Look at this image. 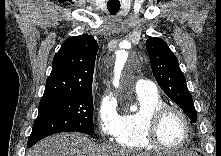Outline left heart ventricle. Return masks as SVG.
I'll use <instances>...</instances> for the list:
<instances>
[{
    "mask_svg": "<svg viewBox=\"0 0 221 156\" xmlns=\"http://www.w3.org/2000/svg\"><path fill=\"white\" fill-rule=\"evenodd\" d=\"M186 135V128L182 118L175 112H168L159 127V138L169 147L179 146Z\"/></svg>",
    "mask_w": 221,
    "mask_h": 156,
    "instance_id": "1",
    "label": "left heart ventricle"
}]
</instances>
